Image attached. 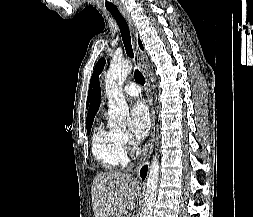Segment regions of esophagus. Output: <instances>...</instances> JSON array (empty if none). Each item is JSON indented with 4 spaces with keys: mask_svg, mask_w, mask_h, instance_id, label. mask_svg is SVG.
<instances>
[{
    "mask_svg": "<svg viewBox=\"0 0 253 217\" xmlns=\"http://www.w3.org/2000/svg\"><path fill=\"white\" fill-rule=\"evenodd\" d=\"M120 11H121L122 15L124 16V18L126 19L128 25H129L130 31H131L132 45H133L134 53L139 61V67H140L141 72H142L144 79H145V90H146L148 104H149V108H150L151 132H150L149 140H148L147 144L145 145L144 149L142 150L141 159H140V162L138 163L137 168H136V173H137V175H139L140 169L142 168V166H144L147 163V161L152 153V150H153L154 139H155V113H154V107H153L151 85H150V80H149L148 73H147L146 54L140 49V47L138 45L137 28H136V25H135L131 15L129 14V12L126 9L121 8Z\"/></svg>",
    "mask_w": 253,
    "mask_h": 217,
    "instance_id": "esophagus-1",
    "label": "esophagus"
}]
</instances>
